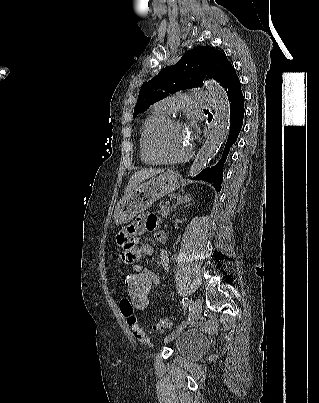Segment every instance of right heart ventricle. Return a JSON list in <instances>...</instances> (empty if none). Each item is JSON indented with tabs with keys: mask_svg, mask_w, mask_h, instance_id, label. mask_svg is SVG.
<instances>
[{
	"mask_svg": "<svg viewBox=\"0 0 319 403\" xmlns=\"http://www.w3.org/2000/svg\"><path fill=\"white\" fill-rule=\"evenodd\" d=\"M167 114L156 107L145 117L139 132V152L146 165H157L161 162L153 155L150 140L154 130L166 119Z\"/></svg>",
	"mask_w": 319,
	"mask_h": 403,
	"instance_id": "e07e8e85",
	"label": "right heart ventricle"
}]
</instances>
